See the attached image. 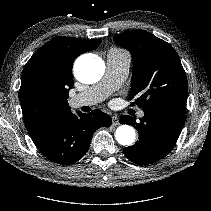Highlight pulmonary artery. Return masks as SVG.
Returning <instances> with one entry per match:
<instances>
[{"mask_svg":"<svg viewBox=\"0 0 211 211\" xmlns=\"http://www.w3.org/2000/svg\"><path fill=\"white\" fill-rule=\"evenodd\" d=\"M130 62L128 53L117 49L109 50L106 56V73L104 78L98 84L72 97L70 99L71 106L74 108L91 106L105 100L127 78ZM143 116L144 112L140 111L139 117Z\"/></svg>","mask_w":211,"mask_h":211,"instance_id":"e3ab8cb5","label":"pulmonary artery"}]
</instances>
